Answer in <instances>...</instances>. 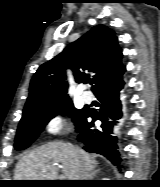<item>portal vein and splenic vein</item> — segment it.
<instances>
[{"mask_svg":"<svg viewBox=\"0 0 160 187\" xmlns=\"http://www.w3.org/2000/svg\"><path fill=\"white\" fill-rule=\"evenodd\" d=\"M61 180H65V177L64 176H61V178H60Z\"/></svg>","mask_w":160,"mask_h":187,"instance_id":"18ae733b","label":"portal vein and splenic vein"}]
</instances>
